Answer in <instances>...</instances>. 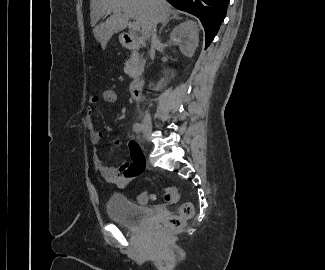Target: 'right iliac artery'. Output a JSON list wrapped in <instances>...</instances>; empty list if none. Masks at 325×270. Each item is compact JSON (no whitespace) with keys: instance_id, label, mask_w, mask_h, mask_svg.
I'll return each instance as SVG.
<instances>
[{"instance_id":"1","label":"right iliac artery","mask_w":325,"mask_h":270,"mask_svg":"<svg viewBox=\"0 0 325 270\" xmlns=\"http://www.w3.org/2000/svg\"><path fill=\"white\" fill-rule=\"evenodd\" d=\"M133 128H134V130L136 132H141L142 131V125L140 123H135Z\"/></svg>"}]
</instances>
